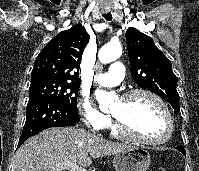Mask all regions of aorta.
<instances>
[{
  "label": "aorta",
  "instance_id": "aorta-1",
  "mask_svg": "<svg viewBox=\"0 0 199 171\" xmlns=\"http://www.w3.org/2000/svg\"><path fill=\"white\" fill-rule=\"evenodd\" d=\"M122 54V47L119 43H108L99 51L98 57L102 63H110L118 59ZM96 99L100 109L104 110L109 107L115 96L103 90L95 91Z\"/></svg>",
  "mask_w": 199,
  "mask_h": 171
}]
</instances>
